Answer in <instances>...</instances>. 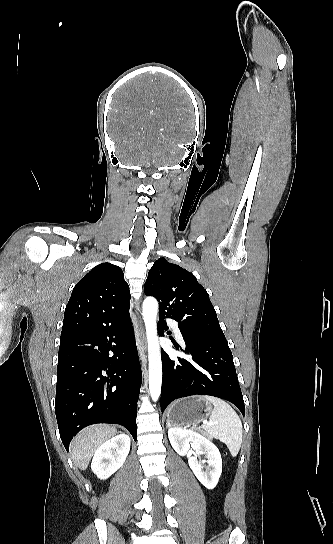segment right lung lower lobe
<instances>
[{"label":"right lung lower lobe","mask_w":333,"mask_h":544,"mask_svg":"<svg viewBox=\"0 0 333 544\" xmlns=\"http://www.w3.org/2000/svg\"><path fill=\"white\" fill-rule=\"evenodd\" d=\"M141 381L129 314L118 323L61 340L55 411L66 450L73 436L96 423L120 424L135 439Z\"/></svg>","instance_id":"98d812e1"}]
</instances>
